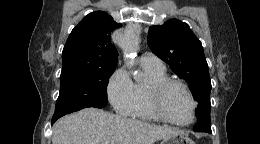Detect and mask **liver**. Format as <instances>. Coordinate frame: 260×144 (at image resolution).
Wrapping results in <instances>:
<instances>
[{"label": "liver", "instance_id": "obj_1", "mask_svg": "<svg viewBox=\"0 0 260 144\" xmlns=\"http://www.w3.org/2000/svg\"><path fill=\"white\" fill-rule=\"evenodd\" d=\"M179 133L171 127L86 108L54 124L52 144H154Z\"/></svg>", "mask_w": 260, "mask_h": 144}]
</instances>
